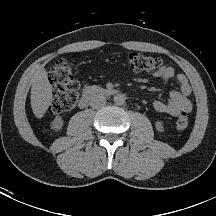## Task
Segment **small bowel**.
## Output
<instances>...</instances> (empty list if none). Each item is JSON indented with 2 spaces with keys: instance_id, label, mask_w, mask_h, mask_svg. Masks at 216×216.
<instances>
[{
  "instance_id": "c3829d8e",
  "label": "small bowel",
  "mask_w": 216,
  "mask_h": 216,
  "mask_svg": "<svg viewBox=\"0 0 216 216\" xmlns=\"http://www.w3.org/2000/svg\"><path fill=\"white\" fill-rule=\"evenodd\" d=\"M163 83L176 82L179 86L177 90L170 92L169 100L164 102L156 100L153 102V108L160 113H166L171 116H178L182 113L191 112L193 105L189 99L192 92L191 85L187 77L182 73H176L170 65H164L161 70L153 74Z\"/></svg>"
}]
</instances>
